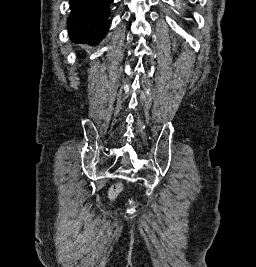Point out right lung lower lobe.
<instances>
[{
	"mask_svg": "<svg viewBox=\"0 0 256 267\" xmlns=\"http://www.w3.org/2000/svg\"><path fill=\"white\" fill-rule=\"evenodd\" d=\"M113 0H70V38L75 42L98 44L105 36Z\"/></svg>",
	"mask_w": 256,
	"mask_h": 267,
	"instance_id": "obj_1",
	"label": "right lung lower lobe"
}]
</instances>
